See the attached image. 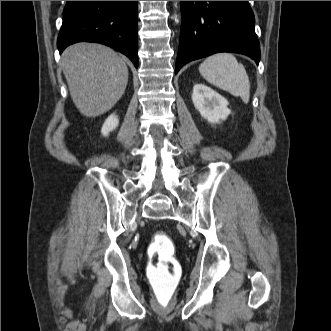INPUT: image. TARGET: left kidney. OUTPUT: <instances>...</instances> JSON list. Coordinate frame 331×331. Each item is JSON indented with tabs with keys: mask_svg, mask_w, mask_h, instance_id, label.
<instances>
[{
	"mask_svg": "<svg viewBox=\"0 0 331 331\" xmlns=\"http://www.w3.org/2000/svg\"><path fill=\"white\" fill-rule=\"evenodd\" d=\"M192 101L195 108L210 123H220L230 114L228 101L204 84H195Z\"/></svg>",
	"mask_w": 331,
	"mask_h": 331,
	"instance_id": "obj_1",
	"label": "left kidney"
}]
</instances>
